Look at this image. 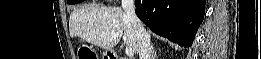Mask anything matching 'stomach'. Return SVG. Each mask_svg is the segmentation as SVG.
Instances as JSON below:
<instances>
[{
	"instance_id": "1",
	"label": "stomach",
	"mask_w": 261,
	"mask_h": 59,
	"mask_svg": "<svg viewBox=\"0 0 261 59\" xmlns=\"http://www.w3.org/2000/svg\"><path fill=\"white\" fill-rule=\"evenodd\" d=\"M108 56H112V55L106 51V52H104V53L102 54V59H105V58H107Z\"/></svg>"
}]
</instances>
